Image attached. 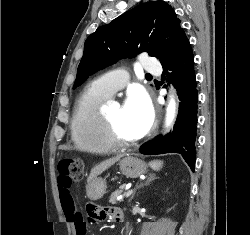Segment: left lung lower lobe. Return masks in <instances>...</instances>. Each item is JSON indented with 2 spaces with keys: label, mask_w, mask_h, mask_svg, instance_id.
<instances>
[{
  "label": "left lung lower lobe",
  "mask_w": 250,
  "mask_h": 235,
  "mask_svg": "<svg viewBox=\"0 0 250 235\" xmlns=\"http://www.w3.org/2000/svg\"><path fill=\"white\" fill-rule=\"evenodd\" d=\"M193 52L183 29L167 55L161 61L162 78L167 74L179 95V113L172 132L165 137L157 136L141 146L143 154L179 153L192 171L195 167V138L197 123L198 91L194 72ZM168 70L172 73H168Z\"/></svg>",
  "instance_id": "left-lung-lower-lobe-1"
}]
</instances>
